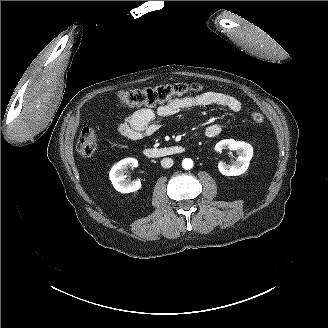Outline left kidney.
I'll return each mask as SVG.
<instances>
[{
  "label": "left kidney",
  "instance_id": "5707ae66",
  "mask_svg": "<svg viewBox=\"0 0 328 328\" xmlns=\"http://www.w3.org/2000/svg\"><path fill=\"white\" fill-rule=\"evenodd\" d=\"M223 149L236 151L238 158L232 164L225 162L218 163V169L225 176H238L243 174L249 167V162L253 156V147L242 141L234 139H224L215 145V151L221 152Z\"/></svg>",
  "mask_w": 328,
  "mask_h": 328
}]
</instances>
